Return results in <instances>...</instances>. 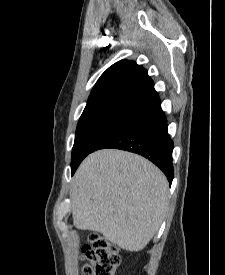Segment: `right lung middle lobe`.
Masks as SVG:
<instances>
[{
	"instance_id": "dd1d6c3e",
	"label": "right lung middle lobe",
	"mask_w": 225,
	"mask_h": 275,
	"mask_svg": "<svg viewBox=\"0 0 225 275\" xmlns=\"http://www.w3.org/2000/svg\"><path fill=\"white\" fill-rule=\"evenodd\" d=\"M127 115L106 113L80 119L72 150L71 173L92 152L96 144Z\"/></svg>"
}]
</instances>
